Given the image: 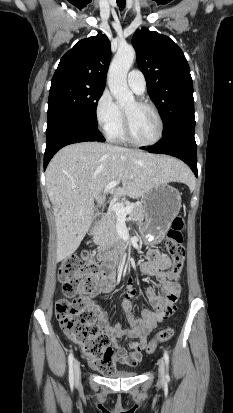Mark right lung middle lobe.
<instances>
[{
    "label": "right lung middle lobe",
    "instance_id": "dd1d6c3e",
    "mask_svg": "<svg viewBox=\"0 0 233 413\" xmlns=\"http://www.w3.org/2000/svg\"><path fill=\"white\" fill-rule=\"evenodd\" d=\"M104 87L63 81L51 84L48 120L54 116L75 117L97 127L96 107Z\"/></svg>",
    "mask_w": 233,
    "mask_h": 413
}]
</instances>
